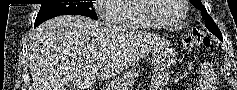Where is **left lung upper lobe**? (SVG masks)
I'll return each instance as SVG.
<instances>
[{"instance_id":"left-lung-upper-lobe-1","label":"left lung upper lobe","mask_w":237,"mask_h":90,"mask_svg":"<svg viewBox=\"0 0 237 90\" xmlns=\"http://www.w3.org/2000/svg\"><path fill=\"white\" fill-rule=\"evenodd\" d=\"M190 2L194 5L195 8L202 11V18L205 20V26L206 28L213 33L215 36H217L220 40H222V34L217 27V25L214 23L212 18L209 16V14L206 11V8L203 6L200 0H190Z\"/></svg>"}]
</instances>
